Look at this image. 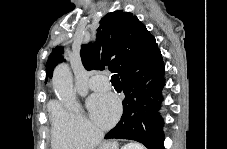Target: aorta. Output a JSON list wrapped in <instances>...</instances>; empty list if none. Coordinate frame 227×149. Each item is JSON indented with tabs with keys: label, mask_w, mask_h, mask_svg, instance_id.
Returning a JSON list of instances; mask_svg holds the SVG:
<instances>
[{
	"label": "aorta",
	"mask_w": 227,
	"mask_h": 149,
	"mask_svg": "<svg viewBox=\"0 0 227 149\" xmlns=\"http://www.w3.org/2000/svg\"><path fill=\"white\" fill-rule=\"evenodd\" d=\"M53 88L58 99L70 110L78 111L76 91L73 87L72 75L66 65L58 66L53 75Z\"/></svg>",
	"instance_id": "obj_1"
}]
</instances>
